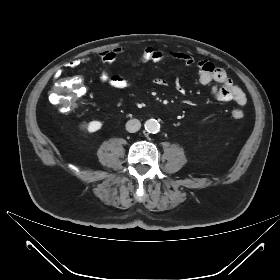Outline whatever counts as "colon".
Instances as JSON below:
<instances>
[{
    "mask_svg": "<svg viewBox=\"0 0 280 280\" xmlns=\"http://www.w3.org/2000/svg\"><path fill=\"white\" fill-rule=\"evenodd\" d=\"M66 89L68 91L63 96L62 92ZM88 92V86L82 83L80 77L60 75L55 87L49 94V101L53 104H58L63 112L69 113L74 110L78 97H86ZM235 116L237 119L243 117L241 113H236Z\"/></svg>",
    "mask_w": 280,
    "mask_h": 280,
    "instance_id": "1",
    "label": "colon"
}]
</instances>
